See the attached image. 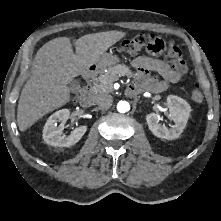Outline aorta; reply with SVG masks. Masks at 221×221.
Returning <instances> with one entry per match:
<instances>
[{
    "mask_svg": "<svg viewBox=\"0 0 221 221\" xmlns=\"http://www.w3.org/2000/svg\"><path fill=\"white\" fill-rule=\"evenodd\" d=\"M117 110L120 113H126L130 110V104L127 101H119L117 104Z\"/></svg>",
    "mask_w": 221,
    "mask_h": 221,
    "instance_id": "1",
    "label": "aorta"
}]
</instances>
